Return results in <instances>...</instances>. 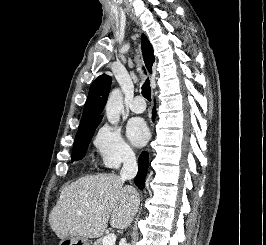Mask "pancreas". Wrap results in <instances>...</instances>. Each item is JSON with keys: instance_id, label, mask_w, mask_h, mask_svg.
Listing matches in <instances>:
<instances>
[{"instance_id": "1", "label": "pancreas", "mask_w": 266, "mask_h": 245, "mask_svg": "<svg viewBox=\"0 0 266 245\" xmlns=\"http://www.w3.org/2000/svg\"><path fill=\"white\" fill-rule=\"evenodd\" d=\"M95 245H102V239H98V241H96Z\"/></svg>"}]
</instances>
